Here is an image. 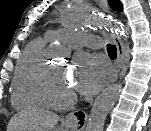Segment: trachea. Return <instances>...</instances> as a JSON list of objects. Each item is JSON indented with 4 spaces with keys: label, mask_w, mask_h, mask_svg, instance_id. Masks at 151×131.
<instances>
[{
    "label": "trachea",
    "mask_w": 151,
    "mask_h": 131,
    "mask_svg": "<svg viewBox=\"0 0 151 131\" xmlns=\"http://www.w3.org/2000/svg\"><path fill=\"white\" fill-rule=\"evenodd\" d=\"M107 52H108V55H109L110 57H116V56H117L116 46H115V45L108 44V45H107Z\"/></svg>",
    "instance_id": "3493384b"
}]
</instances>
